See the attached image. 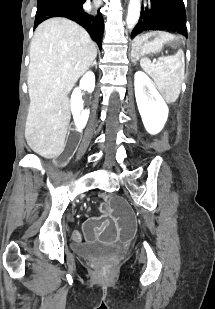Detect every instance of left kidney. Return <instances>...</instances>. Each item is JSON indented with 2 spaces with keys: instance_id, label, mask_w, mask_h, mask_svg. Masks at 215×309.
Instances as JSON below:
<instances>
[{
  "instance_id": "5707ae66",
  "label": "left kidney",
  "mask_w": 215,
  "mask_h": 309,
  "mask_svg": "<svg viewBox=\"0 0 215 309\" xmlns=\"http://www.w3.org/2000/svg\"><path fill=\"white\" fill-rule=\"evenodd\" d=\"M134 78L136 102L142 122L147 132L157 134L168 118L169 108L145 72L137 70Z\"/></svg>"
}]
</instances>
